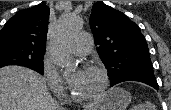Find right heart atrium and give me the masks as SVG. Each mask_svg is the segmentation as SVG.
<instances>
[{
	"instance_id": "d8ad5b80",
	"label": "right heart atrium",
	"mask_w": 171,
	"mask_h": 110,
	"mask_svg": "<svg viewBox=\"0 0 171 110\" xmlns=\"http://www.w3.org/2000/svg\"><path fill=\"white\" fill-rule=\"evenodd\" d=\"M42 73L52 93L57 97L63 96L65 93L63 80L48 57H44L43 59Z\"/></svg>"
}]
</instances>
